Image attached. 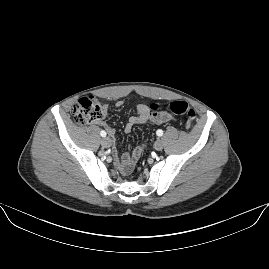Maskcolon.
<instances>
[{
	"label": "colon",
	"instance_id": "colon-1",
	"mask_svg": "<svg viewBox=\"0 0 269 269\" xmlns=\"http://www.w3.org/2000/svg\"><path fill=\"white\" fill-rule=\"evenodd\" d=\"M166 109L175 115H185L187 117L186 130H191L192 121L196 118L195 111L184 101L174 100L166 104H159V109ZM72 117L78 124L97 122L103 117L102 104L94 97L87 96L80 98L72 109Z\"/></svg>",
	"mask_w": 269,
	"mask_h": 269
}]
</instances>
